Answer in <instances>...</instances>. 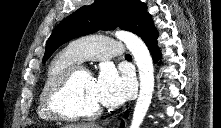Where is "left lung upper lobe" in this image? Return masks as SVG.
Segmentation results:
<instances>
[{
	"instance_id": "obj_1",
	"label": "left lung upper lobe",
	"mask_w": 221,
	"mask_h": 128,
	"mask_svg": "<svg viewBox=\"0 0 221 128\" xmlns=\"http://www.w3.org/2000/svg\"><path fill=\"white\" fill-rule=\"evenodd\" d=\"M117 26L144 40L154 24L146 4L140 0H95L92 5L79 8L56 26L46 43L43 62L71 39Z\"/></svg>"
}]
</instances>
